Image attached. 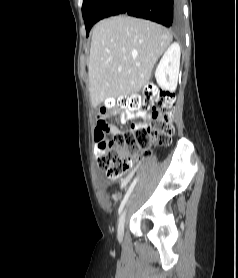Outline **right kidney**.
Wrapping results in <instances>:
<instances>
[{"instance_id":"right-kidney-1","label":"right kidney","mask_w":238,"mask_h":278,"mask_svg":"<svg viewBox=\"0 0 238 278\" xmlns=\"http://www.w3.org/2000/svg\"><path fill=\"white\" fill-rule=\"evenodd\" d=\"M180 67V46L173 43L161 58L155 77L158 85L169 91H174L177 86Z\"/></svg>"}]
</instances>
